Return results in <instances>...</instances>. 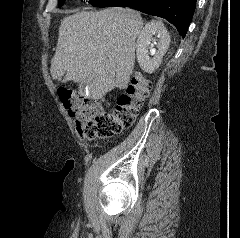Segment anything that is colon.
I'll list each match as a JSON object with an SVG mask.
<instances>
[{"label":"colon","mask_w":240,"mask_h":238,"mask_svg":"<svg viewBox=\"0 0 240 238\" xmlns=\"http://www.w3.org/2000/svg\"><path fill=\"white\" fill-rule=\"evenodd\" d=\"M151 85L147 77L137 72L120 94L112 112L103 110L99 102L88 100L72 88L61 87L58 96L70 116L75 118L78 134L84 139L109 138L130 127Z\"/></svg>","instance_id":"colon-1"}]
</instances>
